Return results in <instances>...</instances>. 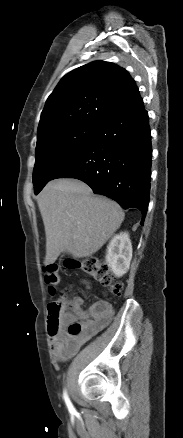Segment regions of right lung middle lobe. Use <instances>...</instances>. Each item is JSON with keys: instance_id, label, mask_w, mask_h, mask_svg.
<instances>
[{"instance_id": "1", "label": "right lung middle lobe", "mask_w": 183, "mask_h": 438, "mask_svg": "<svg viewBox=\"0 0 183 438\" xmlns=\"http://www.w3.org/2000/svg\"><path fill=\"white\" fill-rule=\"evenodd\" d=\"M96 127L77 125L52 130L37 138L33 171L35 194L87 145Z\"/></svg>"}]
</instances>
